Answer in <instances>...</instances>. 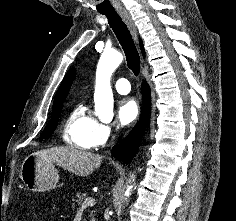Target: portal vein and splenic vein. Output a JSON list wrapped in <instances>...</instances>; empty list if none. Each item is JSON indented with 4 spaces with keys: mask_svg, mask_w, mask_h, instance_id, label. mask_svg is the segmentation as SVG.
<instances>
[{
    "mask_svg": "<svg viewBox=\"0 0 236 221\" xmlns=\"http://www.w3.org/2000/svg\"><path fill=\"white\" fill-rule=\"evenodd\" d=\"M94 205H95V199L93 197H88L83 201L81 206L87 207V206H94Z\"/></svg>",
    "mask_w": 236,
    "mask_h": 221,
    "instance_id": "18ae733b",
    "label": "portal vein and splenic vein"
}]
</instances>
